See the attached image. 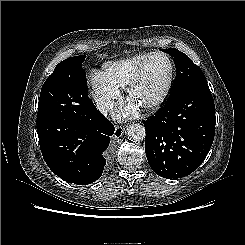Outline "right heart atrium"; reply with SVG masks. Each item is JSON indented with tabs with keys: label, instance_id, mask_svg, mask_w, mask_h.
<instances>
[{
	"label": "right heart atrium",
	"instance_id": "right-heart-atrium-1",
	"mask_svg": "<svg viewBox=\"0 0 245 245\" xmlns=\"http://www.w3.org/2000/svg\"><path fill=\"white\" fill-rule=\"evenodd\" d=\"M93 97L102 113H108L115 102L121 97V92L113 86L103 73L95 71L91 76Z\"/></svg>",
	"mask_w": 245,
	"mask_h": 245
}]
</instances>
